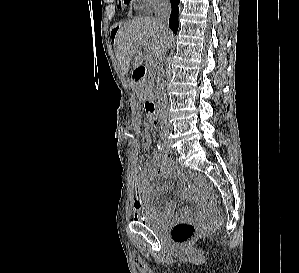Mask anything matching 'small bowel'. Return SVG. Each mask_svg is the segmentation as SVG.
Returning a JSON list of instances; mask_svg holds the SVG:
<instances>
[{
  "instance_id": "small-bowel-1",
  "label": "small bowel",
  "mask_w": 299,
  "mask_h": 273,
  "mask_svg": "<svg viewBox=\"0 0 299 273\" xmlns=\"http://www.w3.org/2000/svg\"><path fill=\"white\" fill-rule=\"evenodd\" d=\"M145 134H150V129L147 128ZM155 176L163 178H173L179 181V187L182 191V196L185 199L193 198L189 191L188 179L181 173V171L173 164L171 160L163 156H154L152 162L144 166L135 180L136 196L133 202V213L135 219L143 213H150L159 218L170 219L175 211V203L168 200L163 208H159L152 204V201L158 192L166 191L169 187L156 188L152 184ZM195 215V212L190 208H183L178 215L179 219L190 218Z\"/></svg>"
}]
</instances>
